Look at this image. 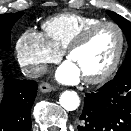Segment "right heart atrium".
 <instances>
[{
  "mask_svg": "<svg viewBox=\"0 0 131 131\" xmlns=\"http://www.w3.org/2000/svg\"><path fill=\"white\" fill-rule=\"evenodd\" d=\"M16 52L20 65L32 73H41L48 64L57 62L62 55L45 36L34 30H27L19 37Z\"/></svg>",
  "mask_w": 131,
  "mask_h": 131,
  "instance_id": "right-heart-atrium-1",
  "label": "right heart atrium"
}]
</instances>
